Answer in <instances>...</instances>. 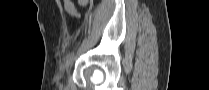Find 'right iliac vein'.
Returning a JSON list of instances; mask_svg holds the SVG:
<instances>
[{"mask_svg":"<svg viewBox=\"0 0 209 90\" xmlns=\"http://www.w3.org/2000/svg\"><path fill=\"white\" fill-rule=\"evenodd\" d=\"M72 64V59L66 62V68L68 69Z\"/></svg>","mask_w":209,"mask_h":90,"instance_id":"right-iliac-vein-1","label":"right iliac vein"}]
</instances>
